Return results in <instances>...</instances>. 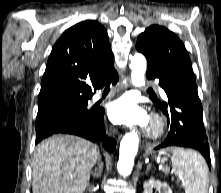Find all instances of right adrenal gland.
Wrapping results in <instances>:
<instances>
[{
  "label": "right adrenal gland",
  "instance_id": "obj_1",
  "mask_svg": "<svg viewBox=\"0 0 221 193\" xmlns=\"http://www.w3.org/2000/svg\"><path fill=\"white\" fill-rule=\"evenodd\" d=\"M99 165H100V164H99ZM101 174H102V166L100 165L99 168H98V170H97V172H94V173H93V176H95V177H100Z\"/></svg>",
  "mask_w": 221,
  "mask_h": 193
}]
</instances>
